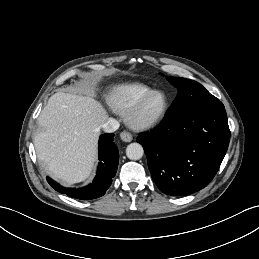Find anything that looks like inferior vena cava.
Segmentation results:
<instances>
[{
    "label": "inferior vena cava",
    "instance_id": "1",
    "mask_svg": "<svg viewBox=\"0 0 259 259\" xmlns=\"http://www.w3.org/2000/svg\"><path fill=\"white\" fill-rule=\"evenodd\" d=\"M101 128L104 132L112 133L119 128V123L113 118H108L103 124H101Z\"/></svg>",
    "mask_w": 259,
    "mask_h": 259
}]
</instances>
